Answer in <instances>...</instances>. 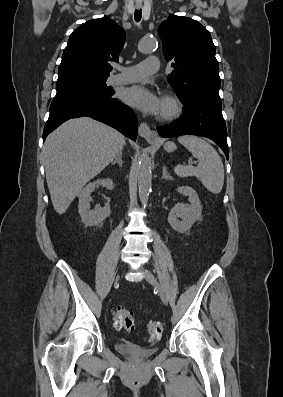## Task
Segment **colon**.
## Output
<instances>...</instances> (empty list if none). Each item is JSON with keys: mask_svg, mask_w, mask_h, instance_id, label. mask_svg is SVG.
Wrapping results in <instances>:
<instances>
[{"mask_svg": "<svg viewBox=\"0 0 283 397\" xmlns=\"http://www.w3.org/2000/svg\"><path fill=\"white\" fill-rule=\"evenodd\" d=\"M114 326L117 329H124L131 333L135 331V319L129 310L125 307H116L114 310ZM163 331V325L158 321H151L147 324V336L149 340L158 339Z\"/></svg>", "mask_w": 283, "mask_h": 397, "instance_id": "colon-1", "label": "colon"}]
</instances>
